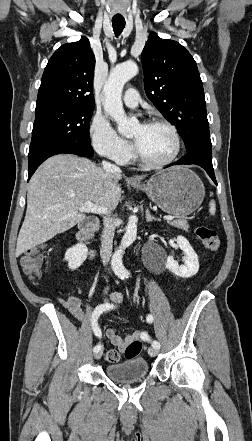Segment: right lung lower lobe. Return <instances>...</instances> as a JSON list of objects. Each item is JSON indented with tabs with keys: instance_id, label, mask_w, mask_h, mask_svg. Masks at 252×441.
<instances>
[{
	"instance_id": "right-lung-lower-lobe-1",
	"label": "right lung lower lobe",
	"mask_w": 252,
	"mask_h": 441,
	"mask_svg": "<svg viewBox=\"0 0 252 441\" xmlns=\"http://www.w3.org/2000/svg\"><path fill=\"white\" fill-rule=\"evenodd\" d=\"M61 153L75 154L82 157H92L94 155L93 149L88 143L64 141L42 146L36 150L29 151L28 180L47 158Z\"/></svg>"
}]
</instances>
